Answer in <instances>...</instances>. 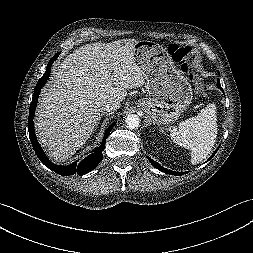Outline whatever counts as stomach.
Instances as JSON below:
<instances>
[{"label":"stomach","instance_id":"stomach-1","mask_svg":"<svg viewBox=\"0 0 253 253\" xmlns=\"http://www.w3.org/2000/svg\"><path fill=\"white\" fill-rule=\"evenodd\" d=\"M133 52L146 75L148 98L140 100L139 106L157 125L174 123L193 99L188 79L175 68L168 52L158 43L139 40Z\"/></svg>","mask_w":253,"mask_h":253}]
</instances>
